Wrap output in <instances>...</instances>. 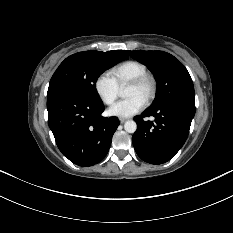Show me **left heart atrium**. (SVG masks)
I'll return each mask as SVG.
<instances>
[{
  "instance_id": "left-heart-atrium-1",
  "label": "left heart atrium",
  "mask_w": 233,
  "mask_h": 233,
  "mask_svg": "<svg viewBox=\"0 0 233 233\" xmlns=\"http://www.w3.org/2000/svg\"><path fill=\"white\" fill-rule=\"evenodd\" d=\"M145 105V101L139 96L127 97L113 106L108 110L109 115L120 118L131 117L140 112Z\"/></svg>"
}]
</instances>
